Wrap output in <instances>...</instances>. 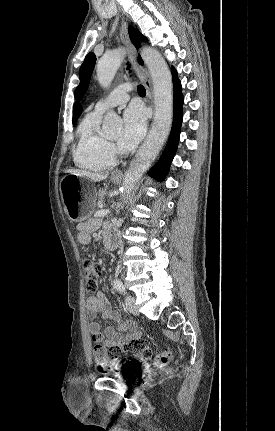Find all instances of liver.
Here are the masks:
<instances>
[{"instance_id":"liver-1","label":"liver","mask_w":275,"mask_h":431,"mask_svg":"<svg viewBox=\"0 0 275 431\" xmlns=\"http://www.w3.org/2000/svg\"><path fill=\"white\" fill-rule=\"evenodd\" d=\"M67 173L70 174H75L77 176L80 177H87L95 182L97 181H102L105 180L108 177V174H98V173H91V172H86V171H82V170H67Z\"/></svg>"}]
</instances>
